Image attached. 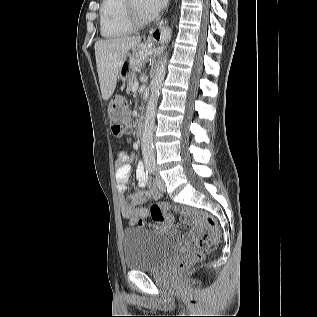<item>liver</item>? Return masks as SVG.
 <instances>
[{
    "instance_id": "6515ba94",
    "label": "liver",
    "mask_w": 317,
    "mask_h": 317,
    "mask_svg": "<svg viewBox=\"0 0 317 317\" xmlns=\"http://www.w3.org/2000/svg\"><path fill=\"white\" fill-rule=\"evenodd\" d=\"M141 37L101 39L95 43V57L102 98L107 101L116 88L119 70L130 49L139 47Z\"/></svg>"
}]
</instances>
